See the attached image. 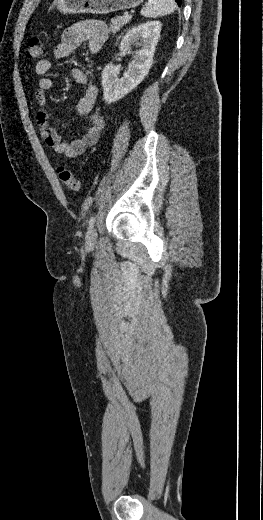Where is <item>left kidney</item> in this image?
Returning <instances> with one entry per match:
<instances>
[{"mask_svg":"<svg viewBox=\"0 0 263 520\" xmlns=\"http://www.w3.org/2000/svg\"><path fill=\"white\" fill-rule=\"evenodd\" d=\"M160 32L161 23L150 21L133 27L126 33L120 43V51L130 53L132 46L140 49L136 51L134 59L122 78L118 77L119 69L112 63L104 68L102 86L106 103L110 104L124 97L144 80L153 63Z\"/></svg>","mask_w":263,"mask_h":520,"instance_id":"1","label":"left kidney"}]
</instances>
